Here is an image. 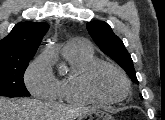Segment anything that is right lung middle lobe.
I'll return each mask as SVG.
<instances>
[{"label":"right lung middle lobe","instance_id":"1","mask_svg":"<svg viewBox=\"0 0 165 120\" xmlns=\"http://www.w3.org/2000/svg\"><path fill=\"white\" fill-rule=\"evenodd\" d=\"M30 59L0 61V96H30L23 76Z\"/></svg>","mask_w":165,"mask_h":120}]
</instances>
